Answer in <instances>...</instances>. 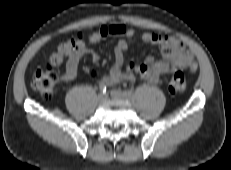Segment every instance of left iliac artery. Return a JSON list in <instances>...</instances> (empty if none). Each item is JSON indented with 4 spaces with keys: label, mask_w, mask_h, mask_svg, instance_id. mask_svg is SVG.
Instances as JSON below:
<instances>
[{
    "label": "left iliac artery",
    "mask_w": 231,
    "mask_h": 170,
    "mask_svg": "<svg viewBox=\"0 0 231 170\" xmlns=\"http://www.w3.org/2000/svg\"><path fill=\"white\" fill-rule=\"evenodd\" d=\"M123 93H124V95H125L127 98L132 97V92H131L130 90H126V91H124Z\"/></svg>",
    "instance_id": "44dca946"
}]
</instances>
